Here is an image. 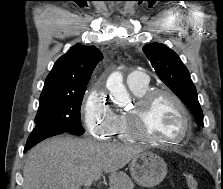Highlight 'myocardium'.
Returning a JSON list of instances; mask_svg holds the SVG:
<instances>
[{
	"mask_svg": "<svg viewBox=\"0 0 223 189\" xmlns=\"http://www.w3.org/2000/svg\"><path fill=\"white\" fill-rule=\"evenodd\" d=\"M162 96L170 98L177 106L182 115V130L180 132V135L174 139L167 140L155 138L146 134L142 129V120L148 108L156 99ZM127 125L129 134L135 140L152 145L176 146L188 136L191 130V118L186 105L178 95L170 90L154 89L149 90L142 96L138 97L134 107L127 113Z\"/></svg>",
	"mask_w": 223,
	"mask_h": 189,
	"instance_id": "f54148a6",
	"label": "myocardium"
}]
</instances>
